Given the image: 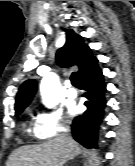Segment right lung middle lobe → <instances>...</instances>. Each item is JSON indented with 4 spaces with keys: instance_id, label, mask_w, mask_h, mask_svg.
Masks as SVG:
<instances>
[{
    "instance_id": "1",
    "label": "right lung middle lobe",
    "mask_w": 135,
    "mask_h": 166,
    "mask_svg": "<svg viewBox=\"0 0 135 166\" xmlns=\"http://www.w3.org/2000/svg\"><path fill=\"white\" fill-rule=\"evenodd\" d=\"M27 106H23V107H20V108H18V109H16L15 111V115L17 116V115H19L25 108H26Z\"/></svg>"
}]
</instances>
